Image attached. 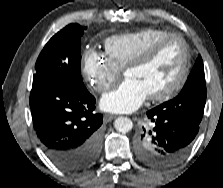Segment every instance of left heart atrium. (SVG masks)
I'll return each instance as SVG.
<instances>
[{
  "label": "left heart atrium",
  "mask_w": 223,
  "mask_h": 188,
  "mask_svg": "<svg viewBox=\"0 0 223 188\" xmlns=\"http://www.w3.org/2000/svg\"><path fill=\"white\" fill-rule=\"evenodd\" d=\"M147 97V92L139 82L126 78L102 97L100 107L107 112L130 113L138 109Z\"/></svg>",
  "instance_id": "left-heart-atrium-1"
}]
</instances>
